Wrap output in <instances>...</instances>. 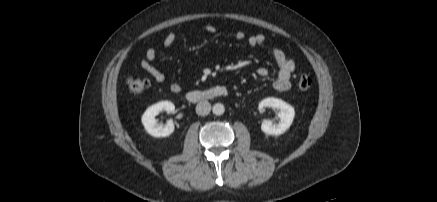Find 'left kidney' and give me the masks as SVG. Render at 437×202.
Here are the masks:
<instances>
[{
  "label": "left kidney",
  "instance_id": "5707ae66",
  "mask_svg": "<svg viewBox=\"0 0 437 202\" xmlns=\"http://www.w3.org/2000/svg\"><path fill=\"white\" fill-rule=\"evenodd\" d=\"M265 108L278 110V123H273L270 120H264L261 124V130L268 135H281L291 126L295 110L294 108L281 99L269 97L263 99L259 103V111H264Z\"/></svg>",
  "mask_w": 437,
  "mask_h": 202
}]
</instances>
